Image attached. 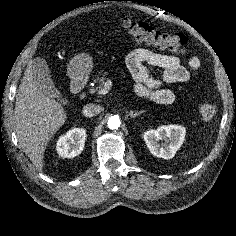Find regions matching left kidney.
Segmentation results:
<instances>
[{
    "instance_id": "obj_1",
    "label": "left kidney",
    "mask_w": 236,
    "mask_h": 236,
    "mask_svg": "<svg viewBox=\"0 0 236 236\" xmlns=\"http://www.w3.org/2000/svg\"><path fill=\"white\" fill-rule=\"evenodd\" d=\"M186 135L184 127L179 125L160 126L156 130L144 133V141L151 154L158 158L172 159L177 150L182 146ZM165 141L160 145L159 141Z\"/></svg>"
}]
</instances>
